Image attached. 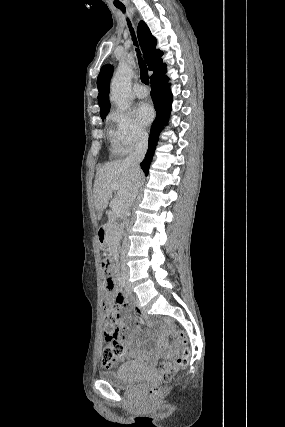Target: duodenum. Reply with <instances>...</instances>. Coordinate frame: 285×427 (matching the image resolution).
<instances>
[{
    "mask_svg": "<svg viewBox=\"0 0 285 427\" xmlns=\"http://www.w3.org/2000/svg\"><path fill=\"white\" fill-rule=\"evenodd\" d=\"M114 231H115V227L113 225L100 227L98 231L99 243L103 246L106 245V234L108 232H114Z\"/></svg>",
    "mask_w": 285,
    "mask_h": 427,
    "instance_id": "1",
    "label": "duodenum"
}]
</instances>
